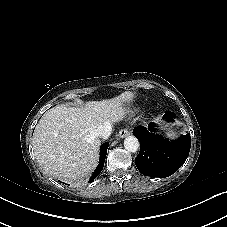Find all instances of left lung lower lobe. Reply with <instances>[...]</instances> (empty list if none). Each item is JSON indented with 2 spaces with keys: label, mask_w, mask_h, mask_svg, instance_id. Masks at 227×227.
<instances>
[{
  "label": "left lung lower lobe",
  "mask_w": 227,
  "mask_h": 227,
  "mask_svg": "<svg viewBox=\"0 0 227 227\" xmlns=\"http://www.w3.org/2000/svg\"><path fill=\"white\" fill-rule=\"evenodd\" d=\"M163 117L167 121H174L176 115L167 111ZM155 131L154 124L133 130L141 144L135 163L143 175L164 178L174 174L186 161L191 146L190 134L169 141L155 134Z\"/></svg>",
  "instance_id": "1"
}]
</instances>
